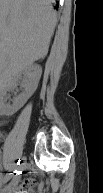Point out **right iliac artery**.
Listing matches in <instances>:
<instances>
[{
    "instance_id": "1",
    "label": "right iliac artery",
    "mask_w": 103,
    "mask_h": 193,
    "mask_svg": "<svg viewBox=\"0 0 103 193\" xmlns=\"http://www.w3.org/2000/svg\"><path fill=\"white\" fill-rule=\"evenodd\" d=\"M20 161V160H19ZM17 165H19V163H15L11 168L10 170L8 171V173L6 174V179L9 180L12 175L17 171L16 168H17Z\"/></svg>"
}]
</instances>
